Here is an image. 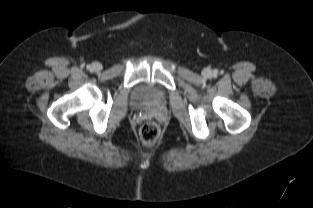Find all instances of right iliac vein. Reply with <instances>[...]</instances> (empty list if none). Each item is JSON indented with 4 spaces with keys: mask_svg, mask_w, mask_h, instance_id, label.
<instances>
[{
    "mask_svg": "<svg viewBox=\"0 0 313 208\" xmlns=\"http://www.w3.org/2000/svg\"><path fill=\"white\" fill-rule=\"evenodd\" d=\"M92 70L98 72L102 70V65L98 62H94L91 66Z\"/></svg>",
    "mask_w": 313,
    "mask_h": 208,
    "instance_id": "63e3f726",
    "label": "right iliac vein"
}]
</instances>
